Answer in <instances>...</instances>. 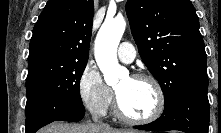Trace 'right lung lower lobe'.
Here are the masks:
<instances>
[{
    "mask_svg": "<svg viewBox=\"0 0 221 133\" xmlns=\"http://www.w3.org/2000/svg\"><path fill=\"white\" fill-rule=\"evenodd\" d=\"M26 133H35L53 121H80L85 108L79 102L53 103L46 98L32 94L27 96Z\"/></svg>",
    "mask_w": 221,
    "mask_h": 133,
    "instance_id": "right-lung-lower-lobe-1",
    "label": "right lung lower lobe"
}]
</instances>
